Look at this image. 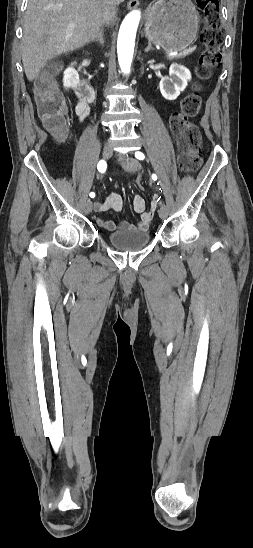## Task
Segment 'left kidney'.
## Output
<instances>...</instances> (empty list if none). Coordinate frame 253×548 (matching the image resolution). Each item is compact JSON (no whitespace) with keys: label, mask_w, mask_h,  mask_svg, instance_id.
I'll use <instances>...</instances> for the list:
<instances>
[{"label":"left kidney","mask_w":253,"mask_h":548,"mask_svg":"<svg viewBox=\"0 0 253 548\" xmlns=\"http://www.w3.org/2000/svg\"><path fill=\"white\" fill-rule=\"evenodd\" d=\"M191 80L190 71L183 65L173 63L169 69V76L163 77L159 83L162 96L167 100H175L187 87Z\"/></svg>","instance_id":"1"}]
</instances>
